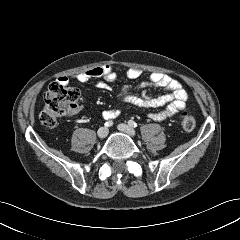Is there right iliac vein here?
<instances>
[{
    "mask_svg": "<svg viewBox=\"0 0 240 240\" xmlns=\"http://www.w3.org/2000/svg\"><path fill=\"white\" fill-rule=\"evenodd\" d=\"M97 135L100 139H104L108 135V129L106 127L99 128Z\"/></svg>",
    "mask_w": 240,
    "mask_h": 240,
    "instance_id": "right-iliac-vein-1",
    "label": "right iliac vein"
}]
</instances>
